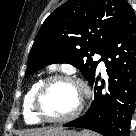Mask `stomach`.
<instances>
[{
  "label": "stomach",
  "instance_id": "obj_1",
  "mask_svg": "<svg viewBox=\"0 0 136 136\" xmlns=\"http://www.w3.org/2000/svg\"><path fill=\"white\" fill-rule=\"evenodd\" d=\"M51 136H81L78 132L74 130H60Z\"/></svg>",
  "mask_w": 136,
  "mask_h": 136
}]
</instances>
